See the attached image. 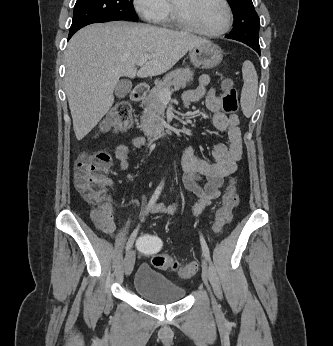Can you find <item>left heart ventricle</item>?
<instances>
[{"instance_id": "left-heart-ventricle-1", "label": "left heart ventricle", "mask_w": 333, "mask_h": 346, "mask_svg": "<svg viewBox=\"0 0 333 346\" xmlns=\"http://www.w3.org/2000/svg\"><path fill=\"white\" fill-rule=\"evenodd\" d=\"M184 15L205 31L221 29L226 21V10L220 0H174Z\"/></svg>"}]
</instances>
